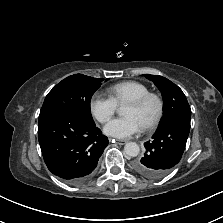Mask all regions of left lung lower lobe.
Here are the masks:
<instances>
[{
  "mask_svg": "<svg viewBox=\"0 0 223 223\" xmlns=\"http://www.w3.org/2000/svg\"><path fill=\"white\" fill-rule=\"evenodd\" d=\"M190 125L181 121L170 122L157 129L151 141L144 143L142 158L133 163V169L148 179H160L180 161L189 135Z\"/></svg>",
  "mask_w": 223,
  "mask_h": 223,
  "instance_id": "obj_1",
  "label": "left lung lower lobe"
}]
</instances>
